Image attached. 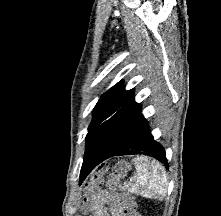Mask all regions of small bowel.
I'll return each mask as SVG.
<instances>
[{
  "mask_svg": "<svg viewBox=\"0 0 221 216\" xmlns=\"http://www.w3.org/2000/svg\"><path fill=\"white\" fill-rule=\"evenodd\" d=\"M108 206L106 209L105 206ZM92 216H122L115 202L105 191L100 192V199L91 206Z\"/></svg>",
  "mask_w": 221,
  "mask_h": 216,
  "instance_id": "1",
  "label": "small bowel"
}]
</instances>
